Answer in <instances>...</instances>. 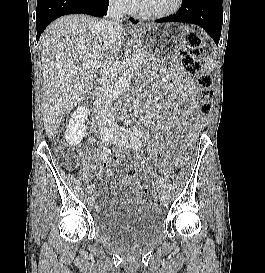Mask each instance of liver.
<instances>
[{"label":"liver","instance_id":"6515ba94","mask_svg":"<svg viewBox=\"0 0 265 273\" xmlns=\"http://www.w3.org/2000/svg\"><path fill=\"white\" fill-rule=\"evenodd\" d=\"M98 23V19L87 15L63 16L41 36L42 115L49 138L55 135L64 117L84 99L96 77L93 68L77 72L73 69L95 60L103 67L111 54L116 56L121 48L125 30L119 27L113 42L105 45Z\"/></svg>","mask_w":265,"mask_h":273}]
</instances>
